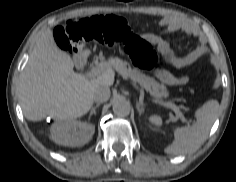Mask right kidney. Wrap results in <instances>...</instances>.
Segmentation results:
<instances>
[{"label":"right kidney","mask_w":236,"mask_h":182,"mask_svg":"<svg viewBox=\"0 0 236 182\" xmlns=\"http://www.w3.org/2000/svg\"><path fill=\"white\" fill-rule=\"evenodd\" d=\"M95 127L73 119L59 120L51 126V139L59 145L78 147L92 139Z\"/></svg>","instance_id":"obj_1"}]
</instances>
